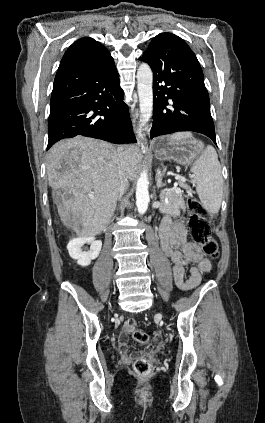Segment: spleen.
<instances>
[{
	"label": "spleen",
	"mask_w": 265,
	"mask_h": 423,
	"mask_svg": "<svg viewBox=\"0 0 265 423\" xmlns=\"http://www.w3.org/2000/svg\"><path fill=\"white\" fill-rule=\"evenodd\" d=\"M190 132H177L171 136L173 140L191 139ZM191 172L194 173L192 182L196 185V192L203 207L210 214H217L221 207L223 195V178L218 155L214 147L208 145L203 153L195 160Z\"/></svg>",
	"instance_id": "obj_1"
}]
</instances>
